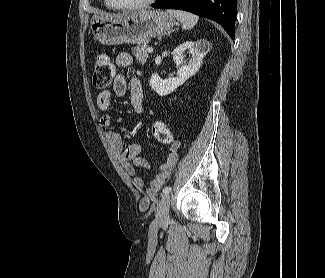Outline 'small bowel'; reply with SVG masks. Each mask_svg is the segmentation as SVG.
Here are the masks:
<instances>
[{
	"label": "small bowel",
	"mask_w": 325,
	"mask_h": 278,
	"mask_svg": "<svg viewBox=\"0 0 325 278\" xmlns=\"http://www.w3.org/2000/svg\"><path fill=\"white\" fill-rule=\"evenodd\" d=\"M115 64L118 68H129L133 65V59L131 55L127 53H120L115 58ZM130 91V103L135 113L142 114L143 107V88L140 80L137 77H132L128 83L125 76L118 73L115 77L112 90H105L97 96V106L103 115L100 119L102 127H109L112 123V116L108 113L111 106L112 94L117 97H123L127 90ZM106 139L111 149L117 153L121 163L123 164L126 172L134 177V184L138 189H142L145 184V180L142 176L138 175V168H150L149 162L140 156L142 146L140 143H132L126 148L123 147L121 135L117 131H108L106 133ZM170 149L166 158L160 163L157 169V173L150 180L145 192L147 197L155 196L163 184L171 176L173 169L178 159V152L180 149V142L172 140L169 143Z\"/></svg>",
	"instance_id": "c3829d8e"
}]
</instances>
